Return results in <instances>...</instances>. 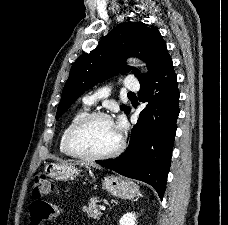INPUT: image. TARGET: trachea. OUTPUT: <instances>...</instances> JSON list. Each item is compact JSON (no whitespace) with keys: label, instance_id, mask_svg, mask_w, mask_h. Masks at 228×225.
Here are the masks:
<instances>
[{"label":"trachea","instance_id":"3493384b","mask_svg":"<svg viewBox=\"0 0 228 225\" xmlns=\"http://www.w3.org/2000/svg\"><path fill=\"white\" fill-rule=\"evenodd\" d=\"M133 96H135V94H133V92H128V97H129V98H131V97H133Z\"/></svg>","mask_w":228,"mask_h":225}]
</instances>
